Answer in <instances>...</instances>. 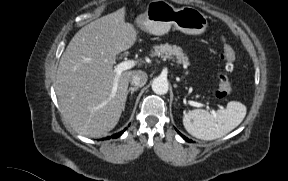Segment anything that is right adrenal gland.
<instances>
[{
  "instance_id": "obj_1",
  "label": "right adrenal gland",
  "mask_w": 288,
  "mask_h": 181,
  "mask_svg": "<svg viewBox=\"0 0 288 181\" xmlns=\"http://www.w3.org/2000/svg\"><path fill=\"white\" fill-rule=\"evenodd\" d=\"M139 87H130L127 92H126V96L129 94V92H131V97L133 95V93L138 90Z\"/></svg>"
}]
</instances>
